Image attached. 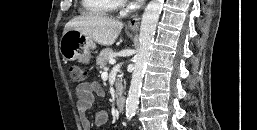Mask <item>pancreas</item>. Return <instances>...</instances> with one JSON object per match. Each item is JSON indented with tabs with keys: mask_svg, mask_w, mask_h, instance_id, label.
I'll use <instances>...</instances> for the list:
<instances>
[{
	"mask_svg": "<svg viewBox=\"0 0 257 130\" xmlns=\"http://www.w3.org/2000/svg\"><path fill=\"white\" fill-rule=\"evenodd\" d=\"M113 53L114 52L111 48H106V49L102 50L100 52L99 56L97 57V60H96L97 65L101 69L106 68L109 60L112 58ZM121 87H122V81H121V79H118V81L116 82L117 92H119L121 90Z\"/></svg>",
	"mask_w": 257,
	"mask_h": 130,
	"instance_id": "pancreas-1",
	"label": "pancreas"
}]
</instances>
